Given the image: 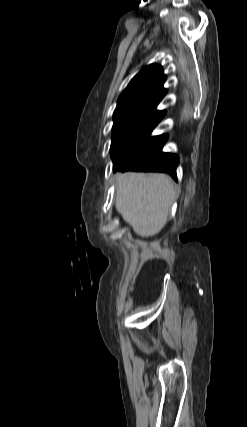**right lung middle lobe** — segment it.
Instances as JSON below:
<instances>
[{"mask_svg": "<svg viewBox=\"0 0 247 427\" xmlns=\"http://www.w3.org/2000/svg\"><path fill=\"white\" fill-rule=\"evenodd\" d=\"M149 115L141 112L114 114L111 142V156L114 157L130 133Z\"/></svg>", "mask_w": 247, "mask_h": 427, "instance_id": "obj_1", "label": "right lung middle lobe"}]
</instances>
